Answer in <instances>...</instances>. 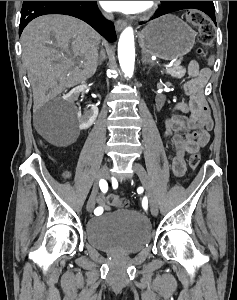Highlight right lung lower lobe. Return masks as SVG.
Segmentation results:
<instances>
[{
	"label": "right lung lower lobe",
	"mask_w": 237,
	"mask_h": 300,
	"mask_svg": "<svg viewBox=\"0 0 237 300\" xmlns=\"http://www.w3.org/2000/svg\"><path fill=\"white\" fill-rule=\"evenodd\" d=\"M45 14H64L77 17L92 26L108 41L116 40L113 23L101 15L96 1H32L23 4L19 34L31 20Z\"/></svg>",
	"instance_id": "1"
}]
</instances>
